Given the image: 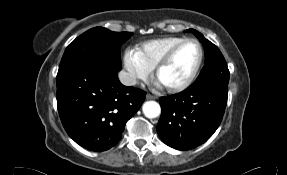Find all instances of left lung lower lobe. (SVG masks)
Here are the masks:
<instances>
[{"label":"left lung lower lobe","mask_w":287,"mask_h":175,"mask_svg":"<svg viewBox=\"0 0 287 175\" xmlns=\"http://www.w3.org/2000/svg\"><path fill=\"white\" fill-rule=\"evenodd\" d=\"M228 86L207 84L188 87L181 93L161 97L157 132L177 150H190L207 141L219 127L227 105Z\"/></svg>","instance_id":"obj_1"}]
</instances>
